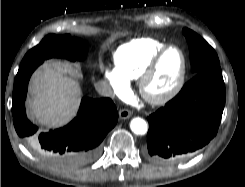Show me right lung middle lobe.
Instances as JSON below:
<instances>
[{"label":"right lung middle lobe","mask_w":245,"mask_h":187,"mask_svg":"<svg viewBox=\"0 0 245 187\" xmlns=\"http://www.w3.org/2000/svg\"><path fill=\"white\" fill-rule=\"evenodd\" d=\"M86 56V45L82 40L70 35H47L36 47L24 56L21 63L32 60H45L52 57L82 60Z\"/></svg>","instance_id":"right-lung-middle-lobe-1"}]
</instances>
